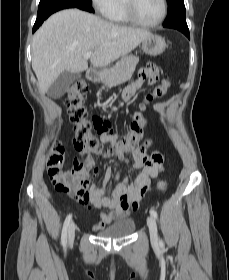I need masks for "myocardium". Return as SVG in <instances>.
<instances>
[{"instance_id":"myocardium-1","label":"myocardium","mask_w":229,"mask_h":280,"mask_svg":"<svg viewBox=\"0 0 229 280\" xmlns=\"http://www.w3.org/2000/svg\"><path fill=\"white\" fill-rule=\"evenodd\" d=\"M124 2V9L126 12V15L130 22H132L135 25L142 26V27H154L162 23V21L165 19L168 11V4L167 0H161L162 2V12L161 15L154 21L146 22L137 17L134 11L133 6V0H123Z\"/></svg>"}]
</instances>
